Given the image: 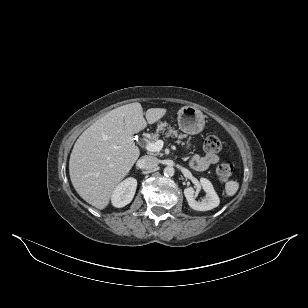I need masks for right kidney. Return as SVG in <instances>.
<instances>
[{"instance_id":"obj_1","label":"right kidney","mask_w":308,"mask_h":308,"mask_svg":"<svg viewBox=\"0 0 308 308\" xmlns=\"http://www.w3.org/2000/svg\"><path fill=\"white\" fill-rule=\"evenodd\" d=\"M137 188V180L134 178H128L123 181L114 190L111 201L112 205L117 208H121L129 204L135 194Z\"/></svg>"}]
</instances>
